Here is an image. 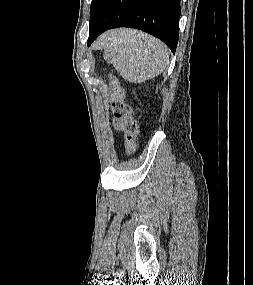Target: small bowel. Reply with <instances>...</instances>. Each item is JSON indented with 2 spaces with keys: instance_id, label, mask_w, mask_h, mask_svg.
I'll list each match as a JSON object with an SVG mask.
<instances>
[{
  "instance_id": "1",
  "label": "small bowel",
  "mask_w": 253,
  "mask_h": 285,
  "mask_svg": "<svg viewBox=\"0 0 253 285\" xmlns=\"http://www.w3.org/2000/svg\"><path fill=\"white\" fill-rule=\"evenodd\" d=\"M114 125L119 129L124 127L123 123L119 120L114 121Z\"/></svg>"
}]
</instances>
